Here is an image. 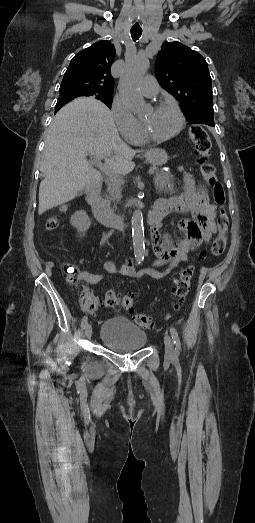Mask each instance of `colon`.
Here are the masks:
<instances>
[{"label":"colon","mask_w":255,"mask_h":523,"mask_svg":"<svg viewBox=\"0 0 255 523\" xmlns=\"http://www.w3.org/2000/svg\"><path fill=\"white\" fill-rule=\"evenodd\" d=\"M189 136L191 141L194 143L195 150L197 153V161L200 166V171L206 184L211 188L214 202L217 206V227L218 234L213 240L210 252L213 255H220L226 245V232L229 224V217L226 211V195L225 190L221 182L219 181L215 166L209 161L211 154V140L207 131L201 126H193L189 130ZM66 207L60 208L59 212H64ZM59 227V218L57 215L50 217L47 221L46 228L48 231H54ZM204 253L199 255V258H203ZM67 279L70 283H76L81 280V275L73 264H67L64 267ZM194 274V267L188 265L184 267L179 277L174 281L172 288V296L175 300V307H179L181 302L187 296L191 280ZM82 304L86 310L94 311L97 307V301L92 298L89 294H84L82 298ZM104 305L106 307L115 308L122 307L127 311H132L134 307V298L131 293H125L119 296L114 291H109L105 295ZM134 321L137 325L143 328H150L152 326V320L150 316L140 313L134 316Z\"/></svg>","instance_id":"colon-1"}]
</instances>
